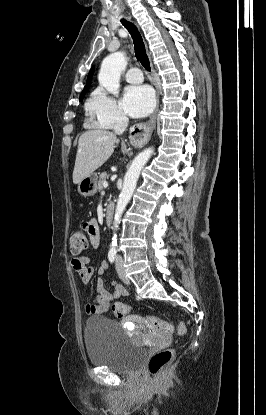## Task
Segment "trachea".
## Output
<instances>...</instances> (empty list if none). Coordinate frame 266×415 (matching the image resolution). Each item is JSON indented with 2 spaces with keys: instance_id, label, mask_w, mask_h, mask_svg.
<instances>
[{
  "instance_id": "3493384b",
  "label": "trachea",
  "mask_w": 266,
  "mask_h": 415,
  "mask_svg": "<svg viewBox=\"0 0 266 415\" xmlns=\"http://www.w3.org/2000/svg\"><path fill=\"white\" fill-rule=\"evenodd\" d=\"M121 23L128 30V32L130 33V35L133 39L136 58L140 61L142 66L147 71H150L151 70L150 62H149L148 56L146 54L145 45H144V42H143V39H142V36H141L139 30L137 29V27L133 23H131V22L125 20V19H122Z\"/></svg>"
}]
</instances>
